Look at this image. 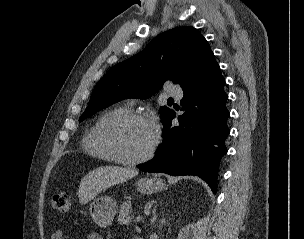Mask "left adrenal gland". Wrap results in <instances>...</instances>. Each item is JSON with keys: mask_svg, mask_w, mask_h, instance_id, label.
Wrapping results in <instances>:
<instances>
[{"mask_svg": "<svg viewBox=\"0 0 304 239\" xmlns=\"http://www.w3.org/2000/svg\"><path fill=\"white\" fill-rule=\"evenodd\" d=\"M156 205L154 206L153 210H152V214H153V219L152 221L154 222L157 219V215H156Z\"/></svg>", "mask_w": 304, "mask_h": 239, "instance_id": "1", "label": "left adrenal gland"}]
</instances>
